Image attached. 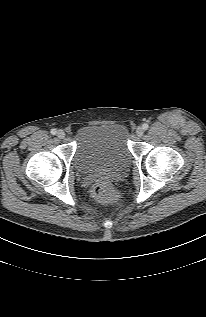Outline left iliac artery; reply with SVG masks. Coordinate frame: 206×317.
<instances>
[{
  "instance_id": "obj_1",
  "label": "left iliac artery",
  "mask_w": 206,
  "mask_h": 317,
  "mask_svg": "<svg viewBox=\"0 0 206 317\" xmlns=\"http://www.w3.org/2000/svg\"><path fill=\"white\" fill-rule=\"evenodd\" d=\"M142 127H143L144 130H147L148 127H149V125H148L147 123H144V124L142 125Z\"/></svg>"
}]
</instances>
